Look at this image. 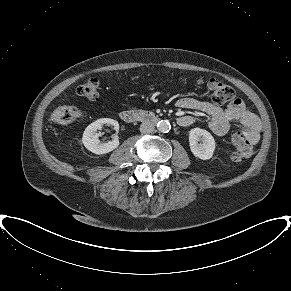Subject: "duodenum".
Returning a JSON list of instances; mask_svg holds the SVG:
<instances>
[{
	"label": "duodenum",
	"instance_id": "410a0bca",
	"mask_svg": "<svg viewBox=\"0 0 291 291\" xmlns=\"http://www.w3.org/2000/svg\"><path fill=\"white\" fill-rule=\"evenodd\" d=\"M120 118L126 123L137 121L155 123L159 120L155 114L143 110H124L120 113Z\"/></svg>",
	"mask_w": 291,
	"mask_h": 291
}]
</instances>
